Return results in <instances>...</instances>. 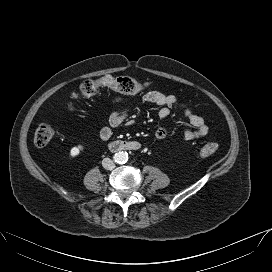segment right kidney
I'll list each match as a JSON object with an SVG mask.
<instances>
[{"instance_id":"ca27d5eb","label":"right kidney","mask_w":272,"mask_h":272,"mask_svg":"<svg viewBox=\"0 0 272 272\" xmlns=\"http://www.w3.org/2000/svg\"><path fill=\"white\" fill-rule=\"evenodd\" d=\"M83 150V146L82 145H78V146H75L73 147L71 150H70V156L71 157H75L77 155H79V153Z\"/></svg>"}]
</instances>
